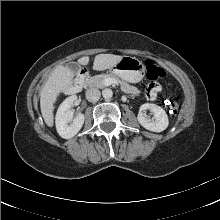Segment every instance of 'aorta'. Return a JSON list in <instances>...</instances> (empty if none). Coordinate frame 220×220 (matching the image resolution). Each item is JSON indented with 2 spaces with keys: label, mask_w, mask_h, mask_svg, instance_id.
Wrapping results in <instances>:
<instances>
[{
  "label": "aorta",
  "mask_w": 220,
  "mask_h": 220,
  "mask_svg": "<svg viewBox=\"0 0 220 220\" xmlns=\"http://www.w3.org/2000/svg\"><path fill=\"white\" fill-rule=\"evenodd\" d=\"M102 96H103L105 99H110V98H112V96H113V91H112L111 89H109V88L104 89V90L102 91Z\"/></svg>",
  "instance_id": "1"
}]
</instances>
